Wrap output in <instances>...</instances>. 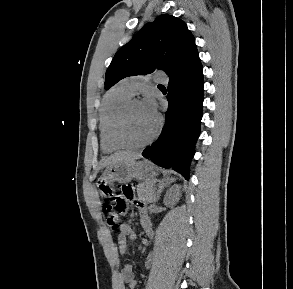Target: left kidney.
I'll return each instance as SVG.
<instances>
[{
  "instance_id": "1",
  "label": "left kidney",
  "mask_w": 293,
  "mask_h": 289,
  "mask_svg": "<svg viewBox=\"0 0 293 289\" xmlns=\"http://www.w3.org/2000/svg\"><path fill=\"white\" fill-rule=\"evenodd\" d=\"M178 189H179V186L176 185V186H174V187H172V188L170 189V192H172V191H174V190H178ZM167 195H168V193H167ZM164 202H165L166 205H172V204L175 203L174 200H173V201H168L166 198L164 199Z\"/></svg>"
}]
</instances>
